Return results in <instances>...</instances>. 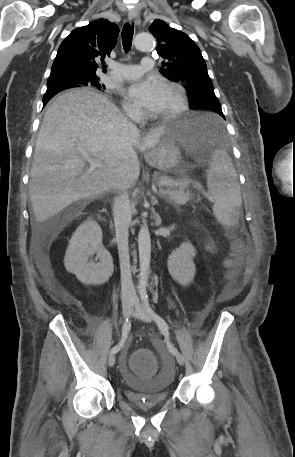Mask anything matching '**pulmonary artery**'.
I'll return each instance as SVG.
<instances>
[{"instance_id": "pulmonary-artery-1", "label": "pulmonary artery", "mask_w": 295, "mask_h": 457, "mask_svg": "<svg viewBox=\"0 0 295 457\" xmlns=\"http://www.w3.org/2000/svg\"><path fill=\"white\" fill-rule=\"evenodd\" d=\"M154 60L150 56H145L141 60L140 65L135 64H121L114 68L113 71L109 73V76L112 78L120 80H131L139 77L144 72L153 69Z\"/></svg>"}]
</instances>
